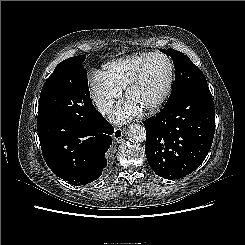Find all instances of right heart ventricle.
I'll return each mask as SVG.
<instances>
[{"mask_svg":"<svg viewBox=\"0 0 245 245\" xmlns=\"http://www.w3.org/2000/svg\"><path fill=\"white\" fill-rule=\"evenodd\" d=\"M150 53H137L104 65L103 74L115 87L125 89L142 62Z\"/></svg>","mask_w":245,"mask_h":245,"instance_id":"right-heart-ventricle-1","label":"right heart ventricle"}]
</instances>
